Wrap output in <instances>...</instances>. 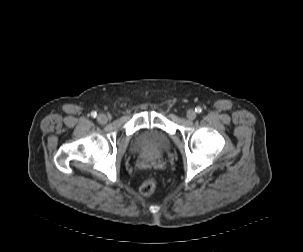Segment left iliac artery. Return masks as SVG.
Returning <instances> with one entry per match:
<instances>
[{
	"label": "left iliac artery",
	"mask_w": 303,
	"mask_h": 252,
	"mask_svg": "<svg viewBox=\"0 0 303 252\" xmlns=\"http://www.w3.org/2000/svg\"><path fill=\"white\" fill-rule=\"evenodd\" d=\"M195 111H196L197 113H201V112H202V109H201L200 107H197V108H195Z\"/></svg>",
	"instance_id": "left-iliac-artery-1"
}]
</instances>
